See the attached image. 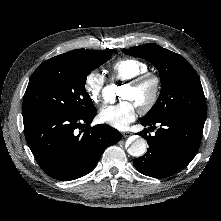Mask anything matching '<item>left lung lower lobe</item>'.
Masks as SVG:
<instances>
[{
    "label": "left lung lower lobe",
    "mask_w": 221,
    "mask_h": 221,
    "mask_svg": "<svg viewBox=\"0 0 221 221\" xmlns=\"http://www.w3.org/2000/svg\"><path fill=\"white\" fill-rule=\"evenodd\" d=\"M205 119L186 116H167L157 119H142L143 126L160 128L155 136L147 135V129L138 134L149 145L146 154L134 159L135 168L154 178H165L180 172L195 157L201 142Z\"/></svg>",
    "instance_id": "0a47b994"
}]
</instances>
